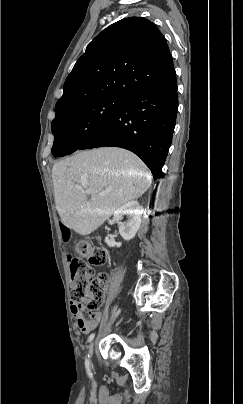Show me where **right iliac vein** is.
Instances as JSON below:
<instances>
[{
  "instance_id": "1",
  "label": "right iliac vein",
  "mask_w": 243,
  "mask_h": 404,
  "mask_svg": "<svg viewBox=\"0 0 243 404\" xmlns=\"http://www.w3.org/2000/svg\"><path fill=\"white\" fill-rule=\"evenodd\" d=\"M93 350H94V342H92V343L89 345V348H88V352H89V357H90V358H91L92 355H93Z\"/></svg>"
}]
</instances>
